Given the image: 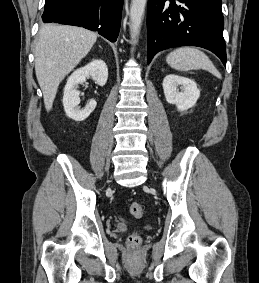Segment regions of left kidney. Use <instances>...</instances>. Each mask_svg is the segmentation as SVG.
<instances>
[{
    "mask_svg": "<svg viewBox=\"0 0 259 283\" xmlns=\"http://www.w3.org/2000/svg\"><path fill=\"white\" fill-rule=\"evenodd\" d=\"M162 85L166 101L175 104L179 111L193 107L200 97V90L196 83L185 77L167 75ZM179 86L181 91H179Z\"/></svg>",
    "mask_w": 259,
    "mask_h": 283,
    "instance_id": "1",
    "label": "left kidney"
}]
</instances>
